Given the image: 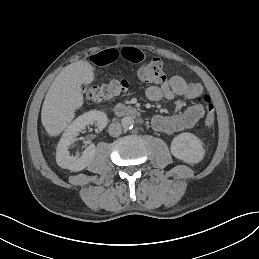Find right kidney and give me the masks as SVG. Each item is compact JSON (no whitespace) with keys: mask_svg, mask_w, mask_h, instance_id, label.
<instances>
[{"mask_svg":"<svg viewBox=\"0 0 259 259\" xmlns=\"http://www.w3.org/2000/svg\"><path fill=\"white\" fill-rule=\"evenodd\" d=\"M87 125H95L98 130H103L107 125V117L99 111H89L78 117L65 131L57 147L56 161L59 167L71 172H80L86 169L95 158L96 147L90 145L82 156L75 159L70 157L69 147L73 145L80 132L86 130Z\"/></svg>","mask_w":259,"mask_h":259,"instance_id":"right-kidney-1","label":"right kidney"}]
</instances>
